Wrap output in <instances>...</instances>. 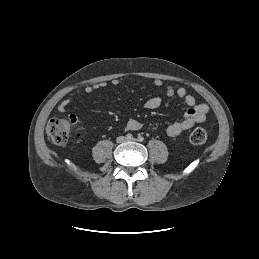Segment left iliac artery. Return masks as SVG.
<instances>
[{"label": "left iliac artery", "instance_id": "44dca946", "mask_svg": "<svg viewBox=\"0 0 259 259\" xmlns=\"http://www.w3.org/2000/svg\"><path fill=\"white\" fill-rule=\"evenodd\" d=\"M137 140H138L139 142H142V141L144 140V138H143V136L139 135L138 138H137Z\"/></svg>", "mask_w": 259, "mask_h": 259}]
</instances>
